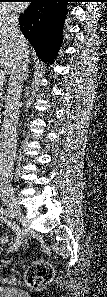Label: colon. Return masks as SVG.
<instances>
[{"label": "colon", "instance_id": "5ec220e1", "mask_svg": "<svg viewBox=\"0 0 107 297\" xmlns=\"http://www.w3.org/2000/svg\"><path fill=\"white\" fill-rule=\"evenodd\" d=\"M51 268L43 263H38L30 270L28 284L33 288H40L51 279Z\"/></svg>", "mask_w": 107, "mask_h": 297}]
</instances>
